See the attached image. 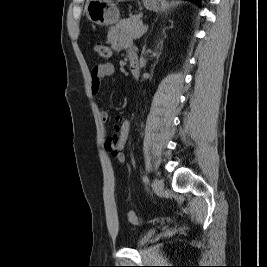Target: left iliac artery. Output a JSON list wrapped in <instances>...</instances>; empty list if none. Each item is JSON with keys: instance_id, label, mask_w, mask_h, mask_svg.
Instances as JSON below:
<instances>
[{"instance_id": "left-iliac-artery-1", "label": "left iliac artery", "mask_w": 267, "mask_h": 267, "mask_svg": "<svg viewBox=\"0 0 267 267\" xmlns=\"http://www.w3.org/2000/svg\"><path fill=\"white\" fill-rule=\"evenodd\" d=\"M143 181H144L145 184H148V183H149V178H148V176L145 175V176L143 177Z\"/></svg>"}]
</instances>
